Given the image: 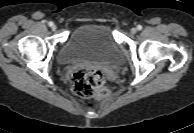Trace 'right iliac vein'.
<instances>
[{"label":"right iliac vein","instance_id":"1","mask_svg":"<svg viewBox=\"0 0 194 133\" xmlns=\"http://www.w3.org/2000/svg\"><path fill=\"white\" fill-rule=\"evenodd\" d=\"M51 29H52L53 31H55V30L57 29L56 25L53 24V25L51 26Z\"/></svg>","mask_w":194,"mask_h":133}]
</instances>
